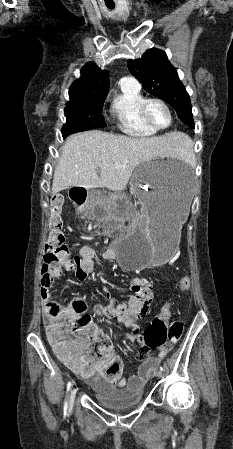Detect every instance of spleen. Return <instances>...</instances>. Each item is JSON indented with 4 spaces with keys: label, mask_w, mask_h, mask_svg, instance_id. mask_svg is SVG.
Listing matches in <instances>:
<instances>
[{
    "label": "spleen",
    "mask_w": 233,
    "mask_h": 449,
    "mask_svg": "<svg viewBox=\"0 0 233 449\" xmlns=\"http://www.w3.org/2000/svg\"><path fill=\"white\" fill-rule=\"evenodd\" d=\"M183 140H184V138L181 139L180 142H182ZM190 154H191L190 139L187 136H185L184 146L180 147V149L176 152V155H178L180 157L185 155L188 157V156H190Z\"/></svg>",
    "instance_id": "spleen-1"
}]
</instances>
